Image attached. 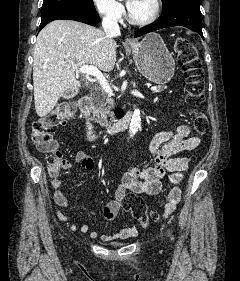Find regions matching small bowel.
Listing matches in <instances>:
<instances>
[{"instance_id": "c3829d8e", "label": "small bowel", "mask_w": 240, "mask_h": 281, "mask_svg": "<svg viewBox=\"0 0 240 281\" xmlns=\"http://www.w3.org/2000/svg\"><path fill=\"white\" fill-rule=\"evenodd\" d=\"M191 128L188 125H180L173 130H164L157 133L149 144V150L154 156L153 165L140 168L132 166L127 169L121 178V183L116 188L112 200L106 203L103 208V217L105 220L113 224L122 207V201L128 192L135 194L157 195L163 188V179L169 174V179L175 185L171 188L167 203L164 208V217H168L177 207L181 190L178 183L182 180V172L187 169L190 159L188 157H178V154L184 151H191L198 147L201 139L196 136H190ZM74 161L83 169L93 171L95 169L94 159L85 152H78ZM72 164L70 161L61 160L60 169L68 171ZM51 186L54 189V201L61 207L68 208L69 203L65 194L61 191V179L58 173H51ZM57 216L62 221H67V217L61 212H57ZM72 231L89 232L87 224L71 225ZM138 230L135 227H127L117 231L113 238L126 239L135 237ZM92 238L98 237L97 232H91ZM102 240L110 239V236H101Z\"/></svg>"}]
</instances>
